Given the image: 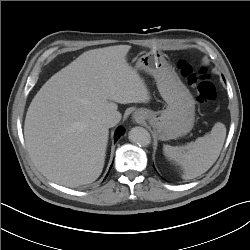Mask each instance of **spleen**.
<instances>
[{
	"label": "spleen",
	"mask_w": 250,
	"mask_h": 250,
	"mask_svg": "<svg viewBox=\"0 0 250 250\" xmlns=\"http://www.w3.org/2000/svg\"><path fill=\"white\" fill-rule=\"evenodd\" d=\"M226 137V127L217 122L210 133L185 147L164 145V155L183 170V179H193L205 173L218 159Z\"/></svg>",
	"instance_id": "3e777b00"
}]
</instances>
